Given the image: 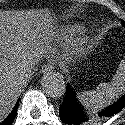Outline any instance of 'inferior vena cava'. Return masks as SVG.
I'll use <instances>...</instances> for the list:
<instances>
[{"instance_id":"1","label":"inferior vena cava","mask_w":125,"mask_h":125,"mask_svg":"<svg viewBox=\"0 0 125 125\" xmlns=\"http://www.w3.org/2000/svg\"><path fill=\"white\" fill-rule=\"evenodd\" d=\"M35 65V60L30 59L24 68L20 70L19 79L25 81L28 78V73L31 72L32 66Z\"/></svg>"}]
</instances>
